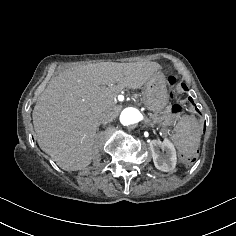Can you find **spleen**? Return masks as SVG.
Masks as SVG:
<instances>
[{"mask_svg":"<svg viewBox=\"0 0 236 236\" xmlns=\"http://www.w3.org/2000/svg\"><path fill=\"white\" fill-rule=\"evenodd\" d=\"M175 134L171 139L180 153L185 156H193L199 145L201 139V128L192 116L183 117L174 128Z\"/></svg>","mask_w":236,"mask_h":236,"instance_id":"3e777b00","label":"spleen"}]
</instances>
